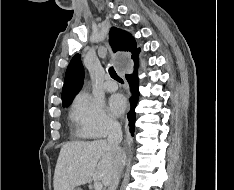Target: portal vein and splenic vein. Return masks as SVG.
Returning <instances> with one entry per match:
<instances>
[{
	"instance_id": "obj_1",
	"label": "portal vein and splenic vein",
	"mask_w": 234,
	"mask_h": 190,
	"mask_svg": "<svg viewBox=\"0 0 234 190\" xmlns=\"http://www.w3.org/2000/svg\"><path fill=\"white\" fill-rule=\"evenodd\" d=\"M102 187H103V185L100 181H96L94 183V190H102Z\"/></svg>"
}]
</instances>
